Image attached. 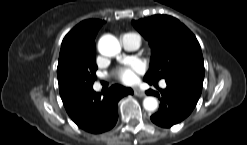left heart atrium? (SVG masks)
Listing matches in <instances>:
<instances>
[{"mask_svg":"<svg viewBox=\"0 0 247 145\" xmlns=\"http://www.w3.org/2000/svg\"><path fill=\"white\" fill-rule=\"evenodd\" d=\"M139 73H140L139 67L135 65H131L120 69L117 72V78L120 82L127 85H131L137 81Z\"/></svg>","mask_w":247,"mask_h":145,"instance_id":"obj_1","label":"left heart atrium"}]
</instances>
